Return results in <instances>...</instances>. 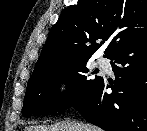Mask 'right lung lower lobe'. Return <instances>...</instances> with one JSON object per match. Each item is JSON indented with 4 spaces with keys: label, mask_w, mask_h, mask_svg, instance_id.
I'll return each mask as SVG.
<instances>
[{
    "label": "right lung lower lobe",
    "mask_w": 147,
    "mask_h": 131,
    "mask_svg": "<svg viewBox=\"0 0 147 131\" xmlns=\"http://www.w3.org/2000/svg\"><path fill=\"white\" fill-rule=\"evenodd\" d=\"M116 79L102 77L74 107L105 131H147V36L109 58ZM111 88L113 93L105 90Z\"/></svg>",
    "instance_id": "98d812e1"
}]
</instances>
